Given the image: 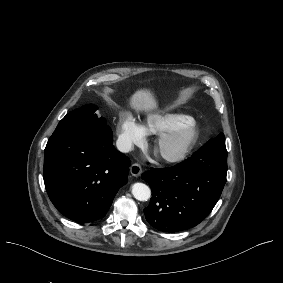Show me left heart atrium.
Wrapping results in <instances>:
<instances>
[{
  "mask_svg": "<svg viewBox=\"0 0 283 283\" xmlns=\"http://www.w3.org/2000/svg\"><path fill=\"white\" fill-rule=\"evenodd\" d=\"M148 156L152 158H160V151L157 146H153L148 150Z\"/></svg>",
  "mask_w": 283,
  "mask_h": 283,
  "instance_id": "left-heart-atrium-1",
  "label": "left heart atrium"
}]
</instances>
